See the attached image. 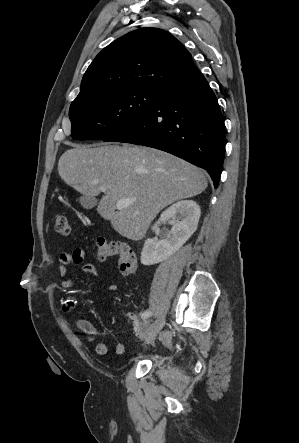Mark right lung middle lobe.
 <instances>
[{"mask_svg":"<svg viewBox=\"0 0 299 443\" xmlns=\"http://www.w3.org/2000/svg\"><path fill=\"white\" fill-rule=\"evenodd\" d=\"M160 91L134 88L106 91L72 102L71 136L76 140L105 139L147 113Z\"/></svg>","mask_w":299,"mask_h":443,"instance_id":"right-lung-middle-lobe-1","label":"right lung middle lobe"}]
</instances>
